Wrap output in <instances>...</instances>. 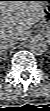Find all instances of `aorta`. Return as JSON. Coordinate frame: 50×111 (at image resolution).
Instances as JSON below:
<instances>
[{"label":"aorta","instance_id":"762f6f07","mask_svg":"<svg viewBox=\"0 0 50 111\" xmlns=\"http://www.w3.org/2000/svg\"><path fill=\"white\" fill-rule=\"evenodd\" d=\"M29 48L34 53L43 54L46 51L47 46L41 39L33 38L29 44Z\"/></svg>","mask_w":50,"mask_h":111}]
</instances>
